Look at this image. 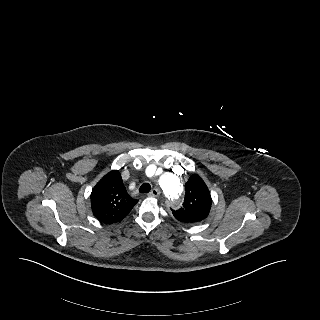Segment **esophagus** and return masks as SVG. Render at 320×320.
<instances>
[{"label":"esophagus","mask_w":320,"mask_h":320,"mask_svg":"<svg viewBox=\"0 0 320 320\" xmlns=\"http://www.w3.org/2000/svg\"><path fill=\"white\" fill-rule=\"evenodd\" d=\"M160 195V190L157 188H154L150 191L149 196L151 197H158Z\"/></svg>","instance_id":"esophagus-1"}]
</instances>
